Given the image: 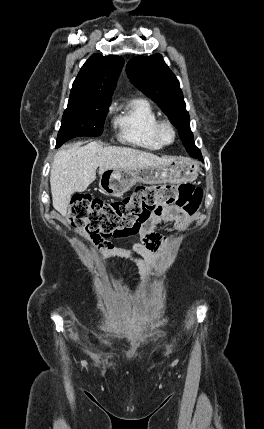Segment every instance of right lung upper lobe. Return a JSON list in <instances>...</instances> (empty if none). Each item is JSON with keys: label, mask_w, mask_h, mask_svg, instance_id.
<instances>
[{"label": "right lung upper lobe", "mask_w": 264, "mask_h": 429, "mask_svg": "<svg viewBox=\"0 0 264 429\" xmlns=\"http://www.w3.org/2000/svg\"><path fill=\"white\" fill-rule=\"evenodd\" d=\"M124 60L116 55L93 54L73 82L70 98L110 100Z\"/></svg>", "instance_id": "obj_1"}]
</instances>
